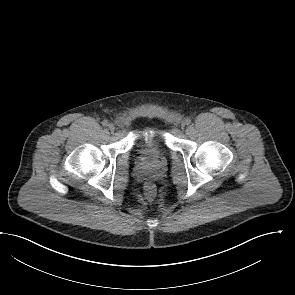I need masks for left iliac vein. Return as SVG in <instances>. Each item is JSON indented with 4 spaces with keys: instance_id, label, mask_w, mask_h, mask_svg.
<instances>
[{
    "instance_id": "left-iliac-vein-1",
    "label": "left iliac vein",
    "mask_w": 295,
    "mask_h": 295,
    "mask_svg": "<svg viewBox=\"0 0 295 295\" xmlns=\"http://www.w3.org/2000/svg\"><path fill=\"white\" fill-rule=\"evenodd\" d=\"M181 125H182V127H184L186 125V123L183 121Z\"/></svg>"
}]
</instances>
